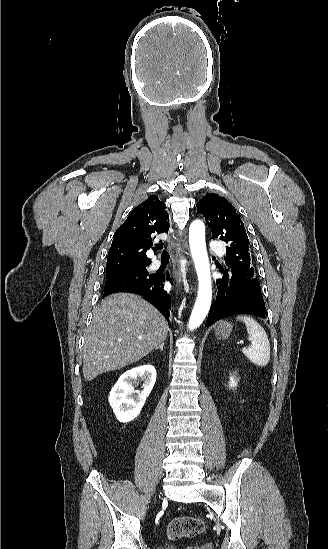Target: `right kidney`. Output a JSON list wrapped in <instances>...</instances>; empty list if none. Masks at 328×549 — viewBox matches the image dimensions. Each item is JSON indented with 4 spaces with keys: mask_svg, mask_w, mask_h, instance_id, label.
<instances>
[{
    "mask_svg": "<svg viewBox=\"0 0 328 549\" xmlns=\"http://www.w3.org/2000/svg\"><path fill=\"white\" fill-rule=\"evenodd\" d=\"M138 379L144 381L143 391H134L133 385ZM156 381V371L152 365H141L131 371H126L119 377L116 385L110 391L109 403L120 423L133 421L149 397ZM136 393V397H130Z\"/></svg>",
    "mask_w": 328,
    "mask_h": 549,
    "instance_id": "obj_1",
    "label": "right kidney"
}]
</instances>
